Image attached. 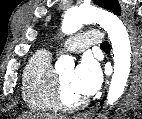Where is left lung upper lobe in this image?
Instances as JSON below:
<instances>
[{
	"mask_svg": "<svg viewBox=\"0 0 142 119\" xmlns=\"http://www.w3.org/2000/svg\"><path fill=\"white\" fill-rule=\"evenodd\" d=\"M94 2L98 6L108 9L117 15H120L121 10L117 0H94Z\"/></svg>",
	"mask_w": 142,
	"mask_h": 119,
	"instance_id": "obj_1",
	"label": "left lung upper lobe"
}]
</instances>
